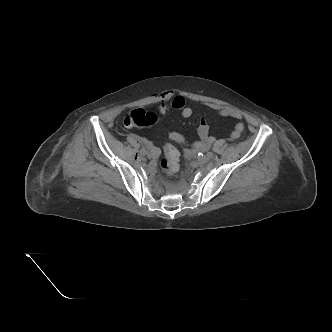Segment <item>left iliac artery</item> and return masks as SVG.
<instances>
[{"label": "left iliac artery", "instance_id": "left-iliac-artery-1", "mask_svg": "<svg viewBox=\"0 0 332 332\" xmlns=\"http://www.w3.org/2000/svg\"><path fill=\"white\" fill-rule=\"evenodd\" d=\"M207 156H208L209 158H212V157H213V153H212L211 151H209V152H207Z\"/></svg>", "mask_w": 332, "mask_h": 332}]
</instances>
